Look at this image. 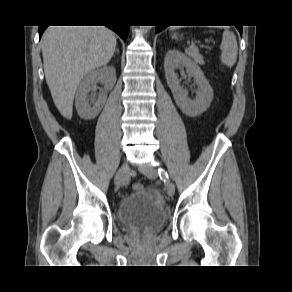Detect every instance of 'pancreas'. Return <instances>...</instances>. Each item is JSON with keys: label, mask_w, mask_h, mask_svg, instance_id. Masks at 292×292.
<instances>
[{"label": "pancreas", "mask_w": 292, "mask_h": 292, "mask_svg": "<svg viewBox=\"0 0 292 292\" xmlns=\"http://www.w3.org/2000/svg\"><path fill=\"white\" fill-rule=\"evenodd\" d=\"M186 52L196 63H198L200 65L204 64L203 57H202V55L199 54L198 50L188 49Z\"/></svg>", "instance_id": "pancreas-1"}]
</instances>
